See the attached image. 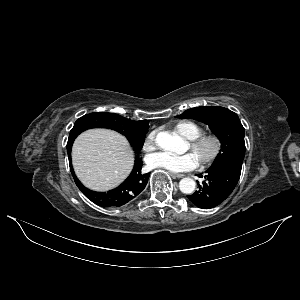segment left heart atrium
Wrapping results in <instances>:
<instances>
[{"label":"left heart atrium","instance_id":"left-heart-atrium-1","mask_svg":"<svg viewBox=\"0 0 300 300\" xmlns=\"http://www.w3.org/2000/svg\"><path fill=\"white\" fill-rule=\"evenodd\" d=\"M147 164L150 168L165 169L177 173L193 170L198 161L192 153L174 155L168 152H158L147 158Z\"/></svg>","mask_w":300,"mask_h":300}]
</instances>
